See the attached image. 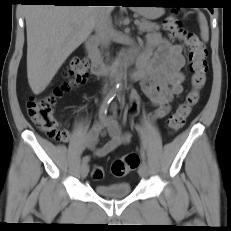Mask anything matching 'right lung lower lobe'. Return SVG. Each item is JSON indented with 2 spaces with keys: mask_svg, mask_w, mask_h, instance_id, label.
Instances as JSON below:
<instances>
[{
  "mask_svg": "<svg viewBox=\"0 0 231 231\" xmlns=\"http://www.w3.org/2000/svg\"><path fill=\"white\" fill-rule=\"evenodd\" d=\"M38 1V2H36ZM82 0H24V2L28 3H49L54 5H84V2H80Z\"/></svg>",
  "mask_w": 231,
  "mask_h": 231,
  "instance_id": "1",
  "label": "right lung lower lobe"
}]
</instances>
